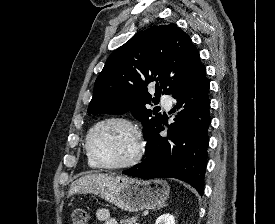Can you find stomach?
Instances as JSON below:
<instances>
[{"instance_id": "1", "label": "stomach", "mask_w": 275, "mask_h": 224, "mask_svg": "<svg viewBox=\"0 0 275 224\" xmlns=\"http://www.w3.org/2000/svg\"><path fill=\"white\" fill-rule=\"evenodd\" d=\"M170 187L164 180L144 181L109 174L84 175L70 187L72 194H95L128 212L162 206Z\"/></svg>"}]
</instances>
